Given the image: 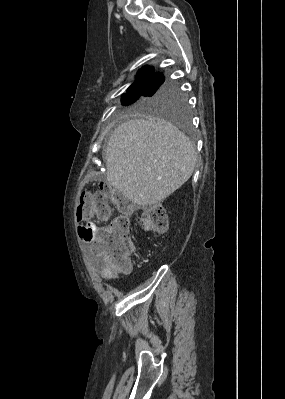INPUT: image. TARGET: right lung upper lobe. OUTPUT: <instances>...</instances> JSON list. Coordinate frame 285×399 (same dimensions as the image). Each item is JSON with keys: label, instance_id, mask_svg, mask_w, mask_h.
I'll return each instance as SVG.
<instances>
[{"label": "right lung upper lobe", "instance_id": "cb5924a9", "mask_svg": "<svg viewBox=\"0 0 285 399\" xmlns=\"http://www.w3.org/2000/svg\"><path fill=\"white\" fill-rule=\"evenodd\" d=\"M164 81L162 73H156L153 67L145 66L138 71L136 81L128 88L127 92L137 93L157 88L162 86Z\"/></svg>", "mask_w": 285, "mask_h": 399}]
</instances>
